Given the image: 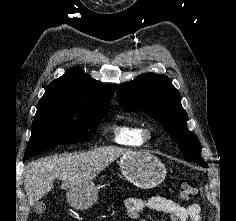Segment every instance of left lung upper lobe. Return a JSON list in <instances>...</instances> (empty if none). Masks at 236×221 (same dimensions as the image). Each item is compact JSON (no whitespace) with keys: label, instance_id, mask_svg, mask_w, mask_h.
<instances>
[{"label":"left lung upper lobe","instance_id":"1","mask_svg":"<svg viewBox=\"0 0 236 221\" xmlns=\"http://www.w3.org/2000/svg\"><path fill=\"white\" fill-rule=\"evenodd\" d=\"M117 98L126 112L139 110L158 118L186 157L202 167H208L201 158L197 136L187 128L188 116L182 108L180 93L167 76L155 73L140 75L120 85Z\"/></svg>","mask_w":236,"mask_h":221}]
</instances>
